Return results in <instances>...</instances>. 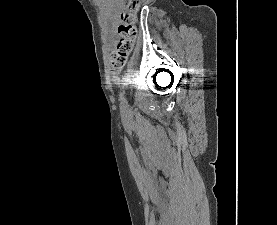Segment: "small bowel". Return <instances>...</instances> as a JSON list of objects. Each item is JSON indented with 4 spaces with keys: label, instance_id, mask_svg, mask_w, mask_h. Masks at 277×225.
<instances>
[{
    "label": "small bowel",
    "instance_id": "1",
    "mask_svg": "<svg viewBox=\"0 0 277 225\" xmlns=\"http://www.w3.org/2000/svg\"><path fill=\"white\" fill-rule=\"evenodd\" d=\"M120 6H117L115 9H113L112 11H110L109 13V16L112 18V19H117L118 16L120 15Z\"/></svg>",
    "mask_w": 277,
    "mask_h": 225
}]
</instances>
